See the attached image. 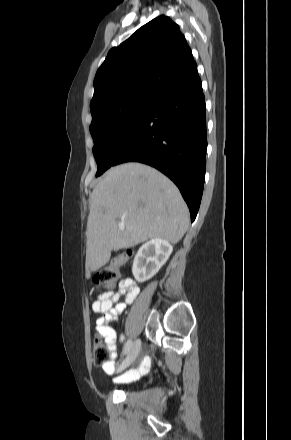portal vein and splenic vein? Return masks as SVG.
Returning a JSON list of instances; mask_svg holds the SVG:
<instances>
[{
  "label": "portal vein and splenic vein",
  "mask_w": 291,
  "mask_h": 440,
  "mask_svg": "<svg viewBox=\"0 0 291 440\" xmlns=\"http://www.w3.org/2000/svg\"><path fill=\"white\" fill-rule=\"evenodd\" d=\"M118 227H119L120 229H124V228H125V224H124V222H119V223H118Z\"/></svg>",
  "instance_id": "portal-vein-and-splenic-vein-1"
}]
</instances>
